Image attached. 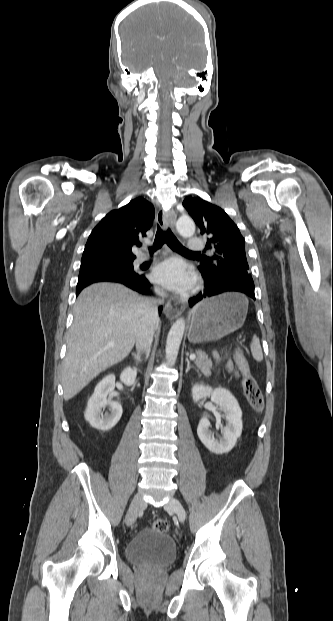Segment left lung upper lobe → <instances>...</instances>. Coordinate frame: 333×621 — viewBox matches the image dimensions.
Listing matches in <instances>:
<instances>
[{"label":"left lung upper lobe","instance_id":"obj_1","mask_svg":"<svg viewBox=\"0 0 333 621\" xmlns=\"http://www.w3.org/2000/svg\"><path fill=\"white\" fill-rule=\"evenodd\" d=\"M187 209L201 234L208 235L207 248L213 256L200 262L199 270L213 280L230 275L251 276L245 254V241L237 225L220 207L200 197H186Z\"/></svg>","mask_w":333,"mask_h":621}]
</instances>
